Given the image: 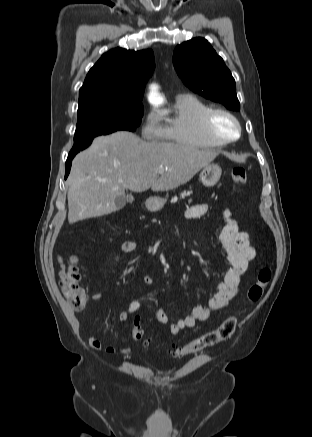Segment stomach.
Wrapping results in <instances>:
<instances>
[{
	"label": "stomach",
	"mask_w": 312,
	"mask_h": 437,
	"mask_svg": "<svg viewBox=\"0 0 312 437\" xmlns=\"http://www.w3.org/2000/svg\"><path fill=\"white\" fill-rule=\"evenodd\" d=\"M222 169L218 164H208L203 167L200 173V180L206 187H212L219 181ZM166 200L160 197H152L146 202V207L150 211H159L163 208Z\"/></svg>",
	"instance_id": "1"
}]
</instances>
